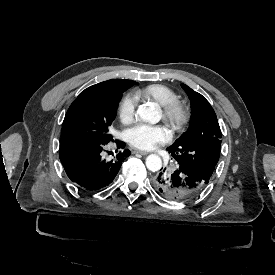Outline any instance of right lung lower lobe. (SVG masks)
I'll use <instances>...</instances> for the list:
<instances>
[{"mask_svg":"<svg viewBox=\"0 0 275 275\" xmlns=\"http://www.w3.org/2000/svg\"><path fill=\"white\" fill-rule=\"evenodd\" d=\"M108 143L83 136L61 138L60 161L69 179L79 188L94 191L108 186L117 175L123 160L130 155L126 149L113 160L103 159L102 151ZM116 144L119 149L125 147L122 141H116Z\"/></svg>","mask_w":275,"mask_h":275,"instance_id":"right-lung-lower-lobe-1","label":"right lung lower lobe"}]
</instances>
